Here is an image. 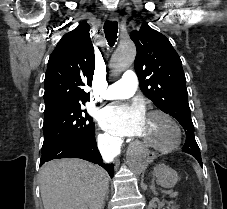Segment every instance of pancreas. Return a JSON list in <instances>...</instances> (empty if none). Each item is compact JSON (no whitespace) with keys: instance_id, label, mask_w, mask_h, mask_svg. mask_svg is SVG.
Listing matches in <instances>:
<instances>
[{"instance_id":"1","label":"pancreas","mask_w":227,"mask_h":209,"mask_svg":"<svg viewBox=\"0 0 227 209\" xmlns=\"http://www.w3.org/2000/svg\"><path fill=\"white\" fill-rule=\"evenodd\" d=\"M170 205V209H177V207L176 206H174L172 203H174L175 201L174 200H172V199H169L168 201H167Z\"/></svg>"}]
</instances>
